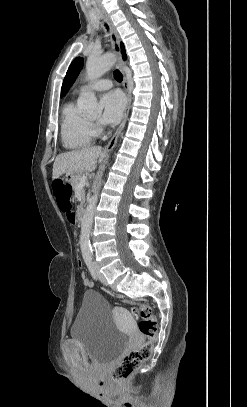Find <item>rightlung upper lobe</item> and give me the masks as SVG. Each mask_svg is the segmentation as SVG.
Wrapping results in <instances>:
<instances>
[{
  "mask_svg": "<svg viewBox=\"0 0 247 407\" xmlns=\"http://www.w3.org/2000/svg\"><path fill=\"white\" fill-rule=\"evenodd\" d=\"M121 49H122L123 58L126 59V54H125V49H124L123 43H121Z\"/></svg>",
  "mask_w": 247,
  "mask_h": 407,
  "instance_id": "right-lung-upper-lobe-1",
  "label": "right lung upper lobe"
}]
</instances>
